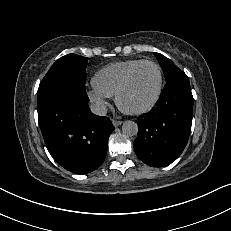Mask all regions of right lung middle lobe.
I'll use <instances>...</instances> for the list:
<instances>
[{"mask_svg":"<svg viewBox=\"0 0 231 231\" xmlns=\"http://www.w3.org/2000/svg\"><path fill=\"white\" fill-rule=\"evenodd\" d=\"M87 57L68 54L58 59L43 78L38 92L47 86L66 79H73L82 84L86 80Z\"/></svg>","mask_w":231,"mask_h":231,"instance_id":"dd1d6c3e","label":"right lung middle lobe"}]
</instances>
